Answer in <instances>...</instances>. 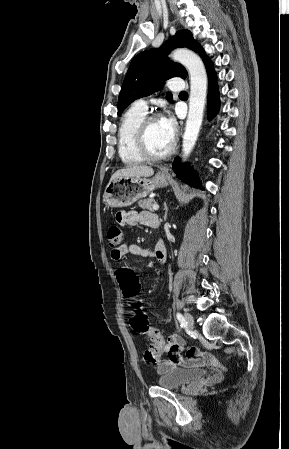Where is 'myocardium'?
<instances>
[{
	"label": "myocardium",
	"instance_id": "myocardium-1",
	"mask_svg": "<svg viewBox=\"0 0 289 449\" xmlns=\"http://www.w3.org/2000/svg\"><path fill=\"white\" fill-rule=\"evenodd\" d=\"M161 120V116L158 114H151L146 116L142 122L140 123L137 133H136V147L138 153L144 158V160L148 161H160L170 157L176 150V139L173 138V142L171 147L163 154L156 155L153 154L147 145V132L148 128L152 122Z\"/></svg>",
	"mask_w": 289,
	"mask_h": 449
}]
</instances>
